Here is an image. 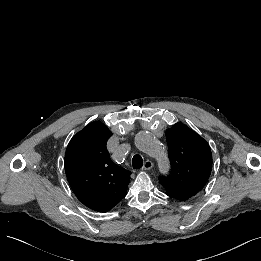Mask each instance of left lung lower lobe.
<instances>
[{
    "label": "left lung lower lobe",
    "instance_id": "1",
    "mask_svg": "<svg viewBox=\"0 0 261 261\" xmlns=\"http://www.w3.org/2000/svg\"><path fill=\"white\" fill-rule=\"evenodd\" d=\"M166 194L172 198H176L178 200H186V198H183V197H180V196H177V195H173V194H170V193H167Z\"/></svg>",
    "mask_w": 261,
    "mask_h": 261
}]
</instances>
